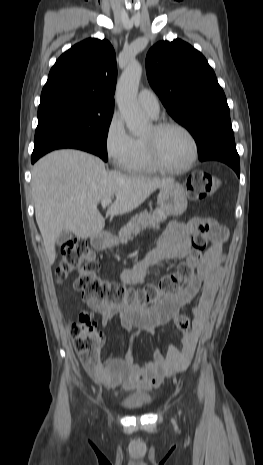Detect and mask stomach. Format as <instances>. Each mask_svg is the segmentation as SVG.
Here are the masks:
<instances>
[{"mask_svg": "<svg viewBox=\"0 0 263 465\" xmlns=\"http://www.w3.org/2000/svg\"><path fill=\"white\" fill-rule=\"evenodd\" d=\"M158 205L167 215L179 216L187 209V196L184 187L177 182L162 187L157 198ZM114 240L108 236H101L97 245L112 246Z\"/></svg>", "mask_w": 263, "mask_h": 465, "instance_id": "obj_1", "label": "stomach"}]
</instances>
